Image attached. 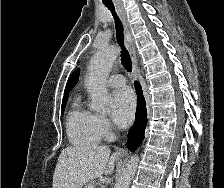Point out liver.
Masks as SVG:
<instances>
[{"mask_svg": "<svg viewBox=\"0 0 224 188\" xmlns=\"http://www.w3.org/2000/svg\"><path fill=\"white\" fill-rule=\"evenodd\" d=\"M110 153L106 146L66 147L58 158L52 188H81L102 174H111L121 154Z\"/></svg>", "mask_w": 224, "mask_h": 188, "instance_id": "liver-1", "label": "liver"}]
</instances>
